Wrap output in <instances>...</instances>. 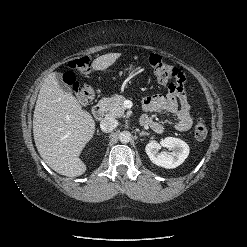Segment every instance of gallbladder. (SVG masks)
Here are the masks:
<instances>
[{
  "mask_svg": "<svg viewBox=\"0 0 247 247\" xmlns=\"http://www.w3.org/2000/svg\"><path fill=\"white\" fill-rule=\"evenodd\" d=\"M56 78H57V80H58V82H59L60 88H61L63 91H65L66 93L71 94V89H70V87H69L66 83H64V82L62 81V74H61V73H56Z\"/></svg>",
  "mask_w": 247,
  "mask_h": 247,
  "instance_id": "gallbladder-1",
  "label": "gallbladder"
}]
</instances>
